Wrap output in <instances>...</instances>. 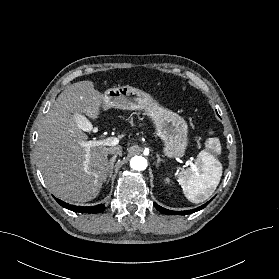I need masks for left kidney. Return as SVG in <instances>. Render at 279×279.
Wrapping results in <instances>:
<instances>
[{"instance_id":"1","label":"left kidney","mask_w":279,"mask_h":279,"mask_svg":"<svg viewBox=\"0 0 279 279\" xmlns=\"http://www.w3.org/2000/svg\"><path fill=\"white\" fill-rule=\"evenodd\" d=\"M165 181H166L167 184H169V183H170V178L167 177V178L165 179Z\"/></svg>"}]
</instances>
